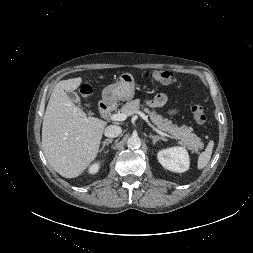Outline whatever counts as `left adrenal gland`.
Returning <instances> with one entry per match:
<instances>
[{
    "mask_svg": "<svg viewBox=\"0 0 253 253\" xmlns=\"http://www.w3.org/2000/svg\"><path fill=\"white\" fill-rule=\"evenodd\" d=\"M149 137L152 139V142H153L154 145H155L156 142L159 141V140L167 141L166 138L161 137V136H158V135L154 136V135L150 134Z\"/></svg>",
    "mask_w": 253,
    "mask_h": 253,
    "instance_id": "left-adrenal-gland-1",
    "label": "left adrenal gland"
}]
</instances>
